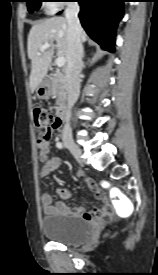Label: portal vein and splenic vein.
I'll return each mask as SVG.
<instances>
[{"label": "portal vein and splenic vein", "mask_w": 158, "mask_h": 275, "mask_svg": "<svg viewBox=\"0 0 158 275\" xmlns=\"http://www.w3.org/2000/svg\"><path fill=\"white\" fill-rule=\"evenodd\" d=\"M51 45L50 44H44L40 47V52H44L45 50H47L48 48H50ZM56 65L58 67H62L65 65V58L64 57H58L56 59Z\"/></svg>", "instance_id": "portal-vein-and-splenic-vein-1"}]
</instances>
